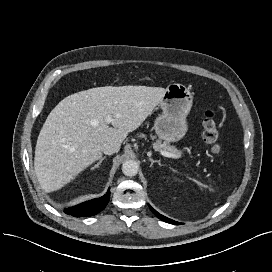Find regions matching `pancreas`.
I'll list each match as a JSON object with an SVG mask.
<instances>
[{
    "label": "pancreas",
    "mask_w": 272,
    "mask_h": 272,
    "mask_svg": "<svg viewBox=\"0 0 272 272\" xmlns=\"http://www.w3.org/2000/svg\"><path fill=\"white\" fill-rule=\"evenodd\" d=\"M151 138L153 140L155 139L154 136H151ZM153 148L155 149V151H169L172 154L181 155V151L180 150L176 149L174 146L168 145L166 142L162 143L160 140H157L153 144Z\"/></svg>",
    "instance_id": "cf45deb5"
}]
</instances>
